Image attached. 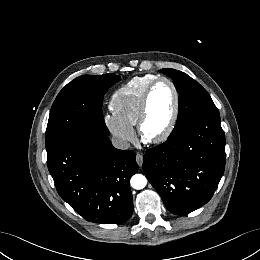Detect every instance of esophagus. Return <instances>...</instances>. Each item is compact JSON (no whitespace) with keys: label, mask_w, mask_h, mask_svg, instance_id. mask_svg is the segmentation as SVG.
<instances>
[{"label":"esophagus","mask_w":260,"mask_h":260,"mask_svg":"<svg viewBox=\"0 0 260 260\" xmlns=\"http://www.w3.org/2000/svg\"><path fill=\"white\" fill-rule=\"evenodd\" d=\"M136 162L141 167L143 164V155L140 153L136 154Z\"/></svg>","instance_id":"1"}]
</instances>
